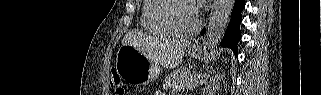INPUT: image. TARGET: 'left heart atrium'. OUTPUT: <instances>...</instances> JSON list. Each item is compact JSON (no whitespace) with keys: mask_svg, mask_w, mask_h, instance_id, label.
Masks as SVG:
<instances>
[{"mask_svg":"<svg viewBox=\"0 0 321 95\" xmlns=\"http://www.w3.org/2000/svg\"><path fill=\"white\" fill-rule=\"evenodd\" d=\"M192 3L194 4V10L198 11V8H200L202 6V4L204 3V1H192Z\"/></svg>","mask_w":321,"mask_h":95,"instance_id":"obj_1","label":"left heart atrium"}]
</instances>
